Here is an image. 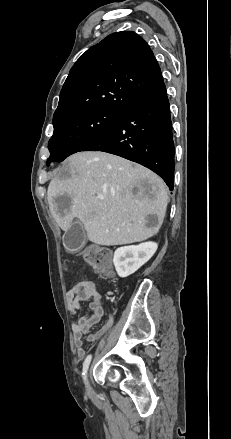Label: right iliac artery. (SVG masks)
Masks as SVG:
<instances>
[{
  "label": "right iliac artery",
  "instance_id": "1",
  "mask_svg": "<svg viewBox=\"0 0 231 439\" xmlns=\"http://www.w3.org/2000/svg\"><path fill=\"white\" fill-rule=\"evenodd\" d=\"M91 359H92V355L90 354V355H88L86 357V359H85V361L83 363V373H82V375H83L84 381H86V378H87L86 374H87V370L89 368V364L91 362Z\"/></svg>",
  "mask_w": 231,
  "mask_h": 439
}]
</instances>
